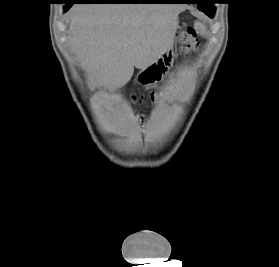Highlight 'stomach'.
<instances>
[{"instance_id":"0dacf381","label":"stomach","mask_w":279,"mask_h":267,"mask_svg":"<svg viewBox=\"0 0 279 267\" xmlns=\"http://www.w3.org/2000/svg\"><path fill=\"white\" fill-rule=\"evenodd\" d=\"M174 61L172 48L165 51L154 62L144 69H141L135 81L143 86H150L161 82L170 70Z\"/></svg>"}]
</instances>
